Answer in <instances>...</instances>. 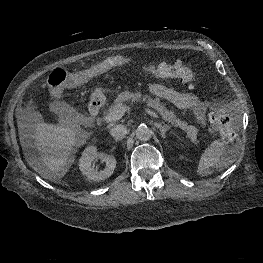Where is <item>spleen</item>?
Instances as JSON below:
<instances>
[{
    "mask_svg": "<svg viewBox=\"0 0 263 263\" xmlns=\"http://www.w3.org/2000/svg\"><path fill=\"white\" fill-rule=\"evenodd\" d=\"M234 162L233 151L221 140H214L201 155L197 173L205 175L209 168L223 170Z\"/></svg>",
    "mask_w": 263,
    "mask_h": 263,
    "instance_id": "obj_1",
    "label": "spleen"
}]
</instances>
